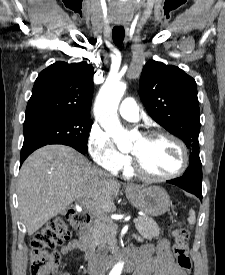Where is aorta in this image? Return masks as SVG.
I'll use <instances>...</instances> for the list:
<instances>
[{
    "label": "aorta",
    "mask_w": 225,
    "mask_h": 275,
    "mask_svg": "<svg viewBox=\"0 0 225 275\" xmlns=\"http://www.w3.org/2000/svg\"><path fill=\"white\" fill-rule=\"evenodd\" d=\"M126 90V83L107 79L101 87L95 104L94 113L102 128L115 140L119 149L131 147L132 135L121 125L117 110ZM124 263L119 262L110 275H121Z\"/></svg>",
    "instance_id": "762f6f07"
}]
</instances>
